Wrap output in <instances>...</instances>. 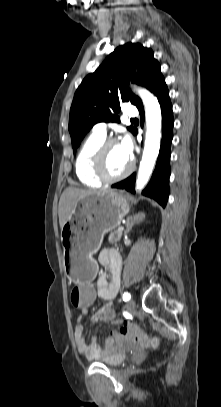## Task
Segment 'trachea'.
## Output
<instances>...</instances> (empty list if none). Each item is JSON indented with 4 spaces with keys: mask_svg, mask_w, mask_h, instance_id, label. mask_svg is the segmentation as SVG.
<instances>
[{
    "mask_svg": "<svg viewBox=\"0 0 221 407\" xmlns=\"http://www.w3.org/2000/svg\"><path fill=\"white\" fill-rule=\"evenodd\" d=\"M132 121H136L137 119L136 118H134V119H131Z\"/></svg>",
    "mask_w": 221,
    "mask_h": 407,
    "instance_id": "obj_1",
    "label": "trachea"
}]
</instances>
